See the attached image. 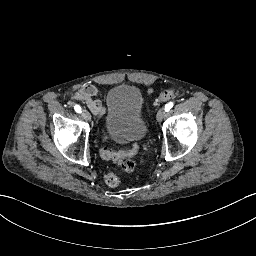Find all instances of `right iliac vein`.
<instances>
[{"label": "right iliac vein", "instance_id": "obj_1", "mask_svg": "<svg viewBox=\"0 0 256 256\" xmlns=\"http://www.w3.org/2000/svg\"><path fill=\"white\" fill-rule=\"evenodd\" d=\"M81 115H82V118H83L84 120H87V121H90V120H91V116H90V114H89L88 111L83 110L82 113H81Z\"/></svg>", "mask_w": 256, "mask_h": 256}]
</instances>
